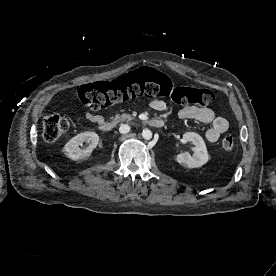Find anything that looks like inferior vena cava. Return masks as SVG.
Returning <instances> with one entry per match:
<instances>
[{"label": "inferior vena cava", "mask_w": 276, "mask_h": 276, "mask_svg": "<svg viewBox=\"0 0 276 276\" xmlns=\"http://www.w3.org/2000/svg\"><path fill=\"white\" fill-rule=\"evenodd\" d=\"M129 131H130V126L127 125V124H122V125L120 126V128H119V132H120L121 134H126V133H128Z\"/></svg>", "instance_id": "602c4592"}]
</instances>
